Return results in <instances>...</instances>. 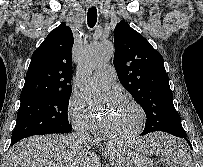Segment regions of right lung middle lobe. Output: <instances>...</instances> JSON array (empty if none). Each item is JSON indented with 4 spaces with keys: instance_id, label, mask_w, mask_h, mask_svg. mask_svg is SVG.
I'll return each mask as SVG.
<instances>
[{
    "instance_id": "obj_1",
    "label": "right lung middle lobe",
    "mask_w": 203,
    "mask_h": 167,
    "mask_svg": "<svg viewBox=\"0 0 203 167\" xmlns=\"http://www.w3.org/2000/svg\"><path fill=\"white\" fill-rule=\"evenodd\" d=\"M71 93H57L21 101L11 142L40 134L68 133L67 110Z\"/></svg>"
}]
</instances>
